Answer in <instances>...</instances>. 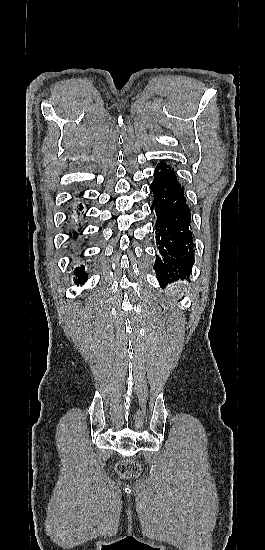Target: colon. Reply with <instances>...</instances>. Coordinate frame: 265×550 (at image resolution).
Listing matches in <instances>:
<instances>
[{
    "instance_id": "obj_1",
    "label": "colon",
    "mask_w": 265,
    "mask_h": 550,
    "mask_svg": "<svg viewBox=\"0 0 265 550\" xmlns=\"http://www.w3.org/2000/svg\"><path fill=\"white\" fill-rule=\"evenodd\" d=\"M116 470L119 475L125 478L136 477L141 472L140 465L133 460L120 461L116 466Z\"/></svg>"
}]
</instances>
